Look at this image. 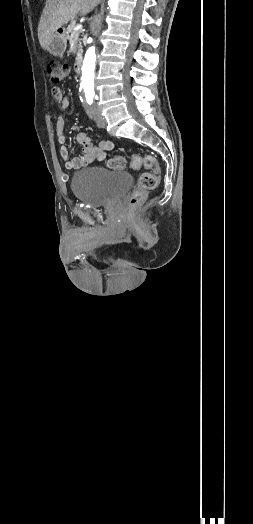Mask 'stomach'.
I'll return each instance as SVG.
<instances>
[{"instance_id":"obj_1","label":"stomach","mask_w":253,"mask_h":524,"mask_svg":"<svg viewBox=\"0 0 253 524\" xmlns=\"http://www.w3.org/2000/svg\"><path fill=\"white\" fill-rule=\"evenodd\" d=\"M66 47H67V38H66L65 30L62 28H59L53 34L51 41L48 45L47 51L53 56L60 57L64 54Z\"/></svg>"}]
</instances>
